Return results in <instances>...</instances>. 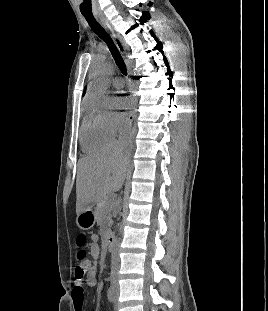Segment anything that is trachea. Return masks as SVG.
<instances>
[{"label":"trachea","instance_id":"obj_1","mask_svg":"<svg viewBox=\"0 0 268 311\" xmlns=\"http://www.w3.org/2000/svg\"><path fill=\"white\" fill-rule=\"evenodd\" d=\"M86 21L90 25L91 29L94 31L95 34L98 35L108 46L119 70L123 75H127V68L124 63V60L116 47L115 43L113 42L110 35L104 30V28L96 21L93 15L83 14Z\"/></svg>","mask_w":268,"mask_h":311}]
</instances>
